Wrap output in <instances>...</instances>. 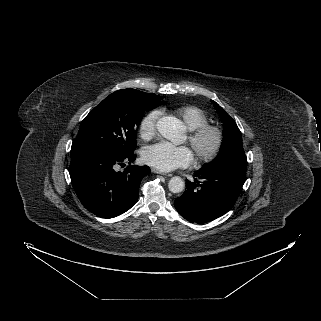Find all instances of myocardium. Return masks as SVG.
Here are the masks:
<instances>
[{
  "label": "myocardium",
  "mask_w": 321,
  "mask_h": 321,
  "mask_svg": "<svg viewBox=\"0 0 321 321\" xmlns=\"http://www.w3.org/2000/svg\"><path fill=\"white\" fill-rule=\"evenodd\" d=\"M211 143L207 145V142ZM188 142L199 163H211L218 158L225 142L223 129L215 124L206 123L189 130Z\"/></svg>",
  "instance_id": "1"
}]
</instances>
